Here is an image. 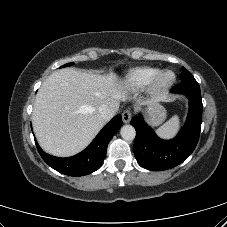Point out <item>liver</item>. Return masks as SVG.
<instances>
[{
  "instance_id": "liver-1",
  "label": "liver",
  "mask_w": 227,
  "mask_h": 227,
  "mask_svg": "<svg viewBox=\"0 0 227 227\" xmlns=\"http://www.w3.org/2000/svg\"><path fill=\"white\" fill-rule=\"evenodd\" d=\"M126 98L127 91L113 72L100 75L72 68L53 72L34 102L32 124L38 143L55 156L77 154L107 122L99 106L106 104L116 113Z\"/></svg>"
}]
</instances>
